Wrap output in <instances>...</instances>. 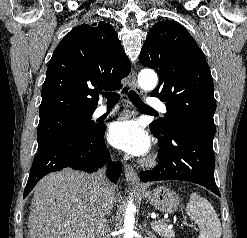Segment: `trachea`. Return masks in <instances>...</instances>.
Masks as SVG:
<instances>
[{"instance_id":"3493384b","label":"trachea","mask_w":247,"mask_h":238,"mask_svg":"<svg viewBox=\"0 0 247 238\" xmlns=\"http://www.w3.org/2000/svg\"><path fill=\"white\" fill-rule=\"evenodd\" d=\"M102 94L107 98V103L115 104L120 99V95L118 93L102 92ZM129 98H130L132 104H134L135 107H137L139 109H142V110L153 111V109L150 108L149 106H147L140 99V97L134 91H132V90L129 92Z\"/></svg>"}]
</instances>
